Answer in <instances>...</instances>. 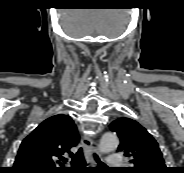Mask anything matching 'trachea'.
I'll return each mask as SVG.
<instances>
[{
    "label": "trachea",
    "instance_id": "3493384b",
    "mask_svg": "<svg viewBox=\"0 0 184 173\" xmlns=\"http://www.w3.org/2000/svg\"><path fill=\"white\" fill-rule=\"evenodd\" d=\"M94 159L98 164L99 168H105L106 165L99 159L97 155L94 154ZM86 164L84 153L82 148L79 149V151L74 155V157L71 160V169H79L84 167Z\"/></svg>",
    "mask_w": 184,
    "mask_h": 173
}]
</instances>
